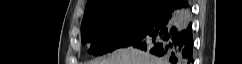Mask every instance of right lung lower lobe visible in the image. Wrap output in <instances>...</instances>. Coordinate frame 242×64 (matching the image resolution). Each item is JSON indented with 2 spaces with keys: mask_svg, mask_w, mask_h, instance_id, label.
Listing matches in <instances>:
<instances>
[{
  "mask_svg": "<svg viewBox=\"0 0 242 64\" xmlns=\"http://www.w3.org/2000/svg\"><path fill=\"white\" fill-rule=\"evenodd\" d=\"M187 0H170L157 22L131 46L171 64L193 63V32Z\"/></svg>",
  "mask_w": 242,
  "mask_h": 64,
  "instance_id": "1",
  "label": "right lung lower lobe"
}]
</instances>
